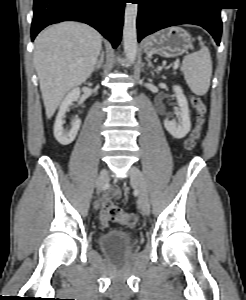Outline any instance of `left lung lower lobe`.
Instances as JSON below:
<instances>
[{"label":"left lung lower lobe","instance_id":"obj_1","mask_svg":"<svg viewBox=\"0 0 246 300\" xmlns=\"http://www.w3.org/2000/svg\"><path fill=\"white\" fill-rule=\"evenodd\" d=\"M138 41L160 29L195 24L205 28L220 44L222 21L217 0H136Z\"/></svg>","mask_w":246,"mask_h":300}]
</instances>
